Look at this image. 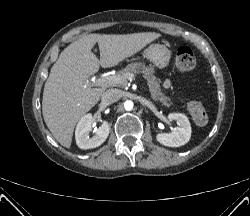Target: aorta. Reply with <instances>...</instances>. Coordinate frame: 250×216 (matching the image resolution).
<instances>
[{
	"mask_svg": "<svg viewBox=\"0 0 250 216\" xmlns=\"http://www.w3.org/2000/svg\"><path fill=\"white\" fill-rule=\"evenodd\" d=\"M133 106H134V104H133V102H132L131 100H127V101H125V103H124V108H125L127 111L132 110Z\"/></svg>",
	"mask_w": 250,
	"mask_h": 216,
	"instance_id": "aorta-1",
	"label": "aorta"
}]
</instances>
